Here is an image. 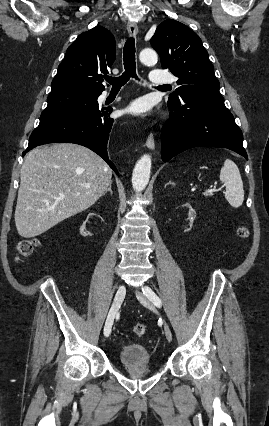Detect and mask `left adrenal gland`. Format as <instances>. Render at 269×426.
Masks as SVG:
<instances>
[{"label": "left adrenal gland", "mask_w": 269, "mask_h": 426, "mask_svg": "<svg viewBox=\"0 0 269 426\" xmlns=\"http://www.w3.org/2000/svg\"><path fill=\"white\" fill-rule=\"evenodd\" d=\"M167 185H175L174 183H172L171 181H169L166 185H165V187L167 186Z\"/></svg>", "instance_id": "obj_1"}]
</instances>
